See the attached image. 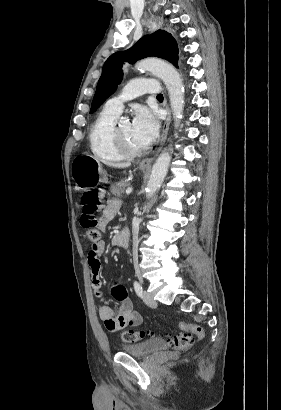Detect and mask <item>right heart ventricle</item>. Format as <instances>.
<instances>
[{
	"instance_id": "e07e8e85",
	"label": "right heart ventricle",
	"mask_w": 281,
	"mask_h": 410,
	"mask_svg": "<svg viewBox=\"0 0 281 410\" xmlns=\"http://www.w3.org/2000/svg\"><path fill=\"white\" fill-rule=\"evenodd\" d=\"M119 114V112L109 109L105 105L90 127V150L99 160L116 162L125 158L112 139V128L118 119Z\"/></svg>"
}]
</instances>
